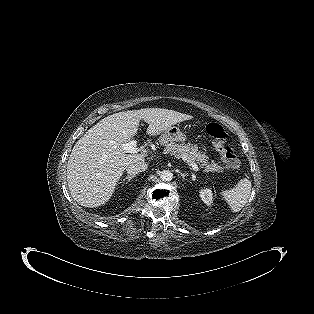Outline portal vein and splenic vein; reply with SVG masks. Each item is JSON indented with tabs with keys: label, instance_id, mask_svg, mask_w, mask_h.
Instances as JSON below:
<instances>
[{
	"label": "portal vein and splenic vein",
	"instance_id": "18ae733b",
	"mask_svg": "<svg viewBox=\"0 0 314 314\" xmlns=\"http://www.w3.org/2000/svg\"><path fill=\"white\" fill-rule=\"evenodd\" d=\"M123 150L126 153H137L139 151V148H137V141L133 140V141L123 144ZM190 166L192 167L194 171L200 170L198 165L194 162Z\"/></svg>",
	"mask_w": 314,
	"mask_h": 314
}]
</instances>
